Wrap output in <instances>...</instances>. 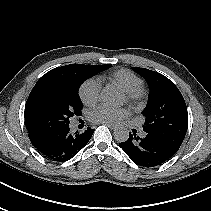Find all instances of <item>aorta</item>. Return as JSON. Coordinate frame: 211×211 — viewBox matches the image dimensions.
Wrapping results in <instances>:
<instances>
[{"label": "aorta", "mask_w": 211, "mask_h": 211, "mask_svg": "<svg viewBox=\"0 0 211 211\" xmlns=\"http://www.w3.org/2000/svg\"><path fill=\"white\" fill-rule=\"evenodd\" d=\"M102 102L109 106H119L122 104V97L115 91L105 88L101 93ZM114 138L118 142H125L129 138V131L124 128H118L114 131Z\"/></svg>", "instance_id": "obj_1"}]
</instances>
